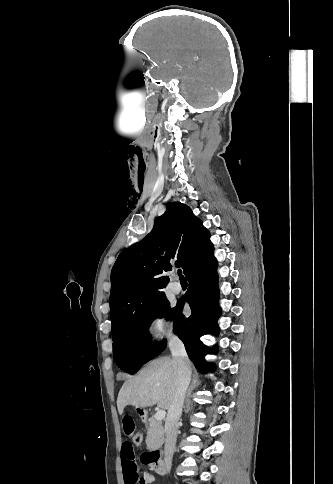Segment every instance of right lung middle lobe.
<instances>
[{"label": "right lung middle lobe", "instance_id": "dd1d6c3e", "mask_svg": "<svg viewBox=\"0 0 333 484\" xmlns=\"http://www.w3.org/2000/svg\"><path fill=\"white\" fill-rule=\"evenodd\" d=\"M178 305L170 308L166 296H161L133 312L118 326L113 337V356L117 365L128 373H135L156 356L159 345L151 342L148 329L157 317L175 318Z\"/></svg>", "mask_w": 333, "mask_h": 484}]
</instances>
